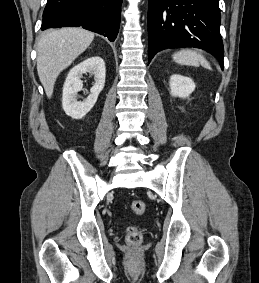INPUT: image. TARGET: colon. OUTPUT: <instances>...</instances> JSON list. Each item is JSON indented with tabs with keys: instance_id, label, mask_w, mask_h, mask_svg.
Instances as JSON below:
<instances>
[{
	"instance_id": "1",
	"label": "colon",
	"mask_w": 259,
	"mask_h": 283,
	"mask_svg": "<svg viewBox=\"0 0 259 283\" xmlns=\"http://www.w3.org/2000/svg\"><path fill=\"white\" fill-rule=\"evenodd\" d=\"M145 209L146 205L142 200H134L130 204V210L135 215H142ZM125 240L128 245L138 246L143 241V234L139 228L131 226L127 229Z\"/></svg>"
}]
</instances>
